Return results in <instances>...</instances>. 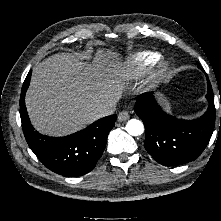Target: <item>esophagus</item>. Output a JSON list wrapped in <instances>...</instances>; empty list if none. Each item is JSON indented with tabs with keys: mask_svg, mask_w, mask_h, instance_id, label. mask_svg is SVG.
Here are the masks:
<instances>
[{
	"mask_svg": "<svg viewBox=\"0 0 221 221\" xmlns=\"http://www.w3.org/2000/svg\"><path fill=\"white\" fill-rule=\"evenodd\" d=\"M129 119V113L128 111H121L118 115V121L123 122Z\"/></svg>",
	"mask_w": 221,
	"mask_h": 221,
	"instance_id": "34e87169",
	"label": "esophagus"
}]
</instances>
